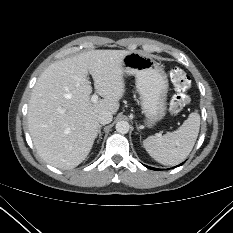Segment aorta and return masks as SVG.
Segmentation results:
<instances>
[{
  "label": "aorta",
  "mask_w": 233,
  "mask_h": 233,
  "mask_svg": "<svg viewBox=\"0 0 233 233\" xmlns=\"http://www.w3.org/2000/svg\"><path fill=\"white\" fill-rule=\"evenodd\" d=\"M130 125L127 121H119L116 123V131L120 134L128 133Z\"/></svg>",
  "instance_id": "obj_1"
}]
</instances>
